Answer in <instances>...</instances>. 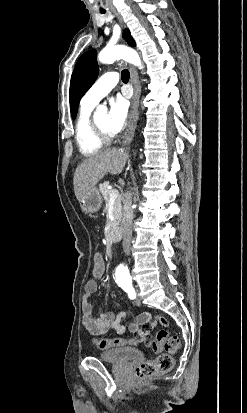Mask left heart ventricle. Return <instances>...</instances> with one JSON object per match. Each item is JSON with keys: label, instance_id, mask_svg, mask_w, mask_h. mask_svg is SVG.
I'll list each match as a JSON object with an SVG mask.
<instances>
[{"label": "left heart ventricle", "instance_id": "1", "mask_svg": "<svg viewBox=\"0 0 247 413\" xmlns=\"http://www.w3.org/2000/svg\"><path fill=\"white\" fill-rule=\"evenodd\" d=\"M104 123H105V118L100 121V125H103ZM103 130H104L107 134H109L107 128H103Z\"/></svg>", "mask_w": 247, "mask_h": 413}]
</instances>
